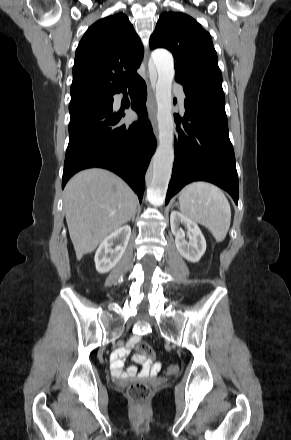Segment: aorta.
<instances>
[{"label": "aorta", "instance_id": "aorta-1", "mask_svg": "<svg viewBox=\"0 0 291 440\" xmlns=\"http://www.w3.org/2000/svg\"><path fill=\"white\" fill-rule=\"evenodd\" d=\"M158 72L156 83L159 146L152 161V175L147 189L149 200L159 205L163 202L171 178L174 162V119L172 114V82L174 60L166 50H156L151 55Z\"/></svg>", "mask_w": 291, "mask_h": 440}]
</instances>
